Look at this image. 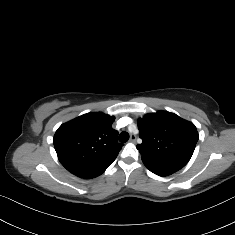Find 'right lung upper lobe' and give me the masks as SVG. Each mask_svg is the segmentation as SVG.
<instances>
[{
	"mask_svg": "<svg viewBox=\"0 0 235 235\" xmlns=\"http://www.w3.org/2000/svg\"><path fill=\"white\" fill-rule=\"evenodd\" d=\"M114 120V116L95 112L62 124L53 138L61 164L80 178L101 175L123 146L117 143L118 132L112 128Z\"/></svg>",
	"mask_w": 235,
	"mask_h": 235,
	"instance_id": "right-lung-upper-lobe-1",
	"label": "right lung upper lobe"
}]
</instances>
